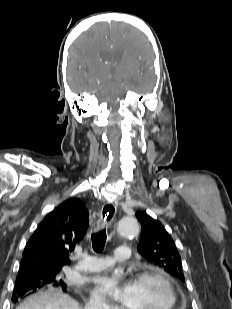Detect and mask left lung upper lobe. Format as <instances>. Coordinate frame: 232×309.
Here are the masks:
<instances>
[{
    "label": "left lung upper lobe",
    "mask_w": 232,
    "mask_h": 309,
    "mask_svg": "<svg viewBox=\"0 0 232 309\" xmlns=\"http://www.w3.org/2000/svg\"><path fill=\"white\" fill-rule=\"evenodd\" d=\"M136 217L142 226L138 252L146 261L184 283L181 257L171 236L159 221L146 212H137Z\"/></svg>",
    "instance_id": "1"
}]
</instances>
